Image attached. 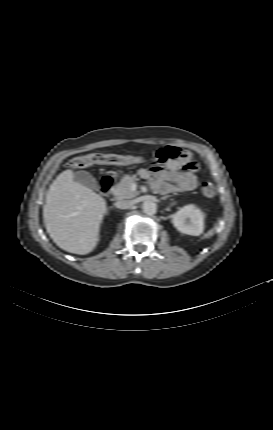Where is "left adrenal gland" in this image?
<instances>
[{
  "label": "left adrenal gland",
  "mask_w": 273,
  "mask_h": 430,
  "mask_svg": "<svg viewBox=\"0 0 273 430\" xmlns=\"http://www.w3.org/2000/svg\"><path fill=\"white\" fill-rule=\"evenodd\" d=\"M168 197H169V196H165V197H163V200H166Z\"/></svg>",
  "instance_id": "obj_1"
}]
</instances>
